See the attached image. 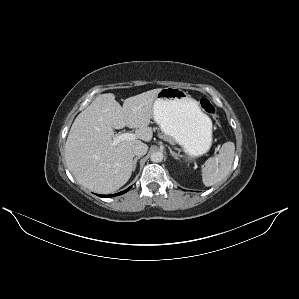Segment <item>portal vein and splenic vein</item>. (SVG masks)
<instances>
[{
  "mask_svg": "<svg viewBox=\"0 0 299 299\" xmlns=\"http://www.w3.org/2000/svg\"><path fill=\"white\" fill-rule=\"evenodd\" d=\"M135 139H136L135 134L126 132V133L120 134L113 138V146H116L117 144H119L122 141H130V140H135Z\"/></svg>",
  "mask_w": 299,
  "mask_h": 299,
  "instance_id": "portal-vein-and-splenic-vein-1",
  "label": "portal vein and splenic vein"
}]
</instances>
